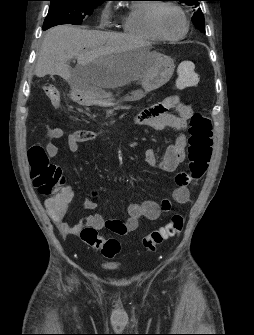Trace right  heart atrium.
<instances>
[{
    "label": "right heart atrium",
    "instance_id": "right-heart-atrium-1",
    "mask_svg": "<svg viewBox=\"0 0 254 335\" xmlns=\"http://www.w3.org/2000/svg\"><path fill=\"white\" fill-rule=\"evenodd\" d=\"M110 13H111V8H110V5L107 4L105 6V8L103 9V11H102V18H103V20L106 21L109 18Z\"/></svg>",
    "mask_w": 254,
    "mask_h": 335
}]
</instances>
